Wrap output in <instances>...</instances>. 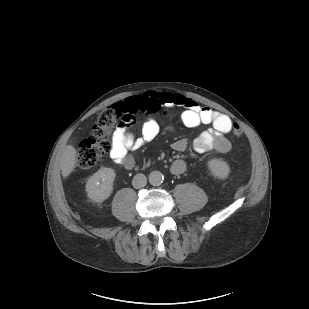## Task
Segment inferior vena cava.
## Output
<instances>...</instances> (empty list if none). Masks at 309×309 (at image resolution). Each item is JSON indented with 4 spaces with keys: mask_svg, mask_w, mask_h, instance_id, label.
I'll return each instance as SVG.
<instances>
[{
    "mask_svg": "<svg viewBox=\"0 0 309 309\" xmlns=\"http://www.w3.org/2000/svg\"><path fill=\"white\" fill-rule=\"evenodd\" d=\"M147 184V178L144 174H137L133 177L132 185L136 189L145 187Z\"/></svg>",
    "mask_w": 309,
    "mask_h": 309,
    "instance_id": "1",
    "label": "inferior vena cava"
}]
</instances>
